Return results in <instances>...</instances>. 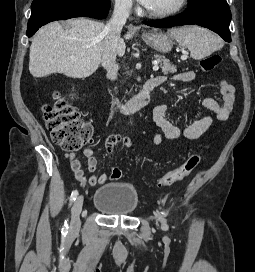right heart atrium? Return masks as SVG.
I'll list each match as a JSON object with an SVG mask.
<instances>
[{
    "label": "right heart atrium",
    "instance_id": "obj_1",
    "mask_svg": "<svg viewBox=\"0 0 255 272\" xmlns=\"http://www.w3.org/2000/svg\"><path fill=\"white\" fill-rule=\"evenodd\" d=\"M114 2L116 8L122 12H129L133 7L132 0H114Z\"/></svg>",
    "mask_w": 255,
    "mask_h": 272
}]
</instances>
